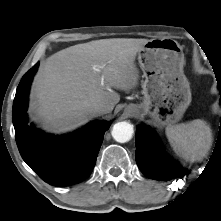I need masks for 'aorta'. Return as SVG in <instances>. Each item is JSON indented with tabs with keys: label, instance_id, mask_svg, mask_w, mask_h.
<instances>
[{
	"label": "aorta",
	"instance_id": "aorta-1",
	"mask_svg": "<svg viewBox=\"0 0 221 221\" xmlns=\"http://www.w3.org/2000/svg\"><path fill=\"white\" fill-rule=\"evenodd\" d=\"M111 133L117 142L125 143L132 138L133 126L126 121L118 122L114 124Z\"/></svg>",
	"mask_w": 221,
	"mask_h": 221
}]
</instances>
